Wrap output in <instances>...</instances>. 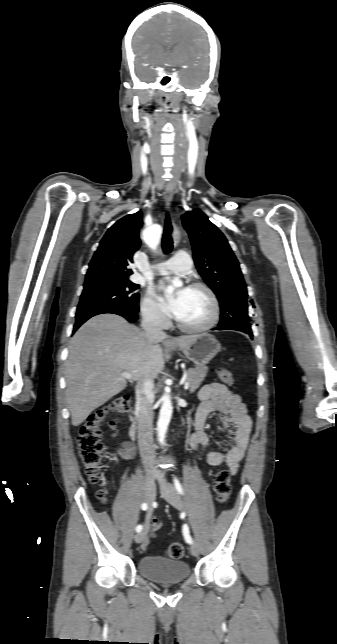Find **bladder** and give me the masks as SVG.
<instances>
[{
	"mask_svg": "<svg viewBox=\"0 0 337 644\" xmlns=\"http://www.w3.org/2000/svg\"><path fill=\"white\" fill-rule=\"evenodd\" d=\"M139 573L156 583L177 584L190 575L189 565L181 560L160 556H144L138 561Z\"/></svg>",
	"mask_w": 337,
	"mask_h": 644,
	"instance_id": "31cf9c89",
	"label": "bladder"
}]
</instances>
